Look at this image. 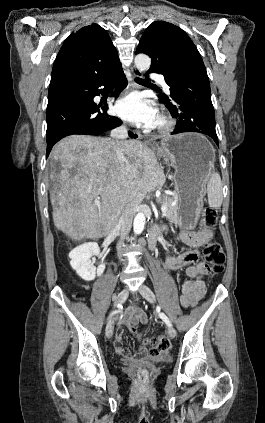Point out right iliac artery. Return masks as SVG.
<instances>
[{"mask_svg": "<svg viewBox=\"0 0 265 423\" xmlns=\"http://www.w3.org/2000/svg\"><path fill=\"white\" fill-rule=\"evenodd\" d=\"M118 308H122V305H118ZM118 311H114L112 314L117 313Z\"/></svg>", "mask_w": 265, "mask_h": 423, "instance_id": "82829eb1", "label": "right iliac artery"}]
</instances>
